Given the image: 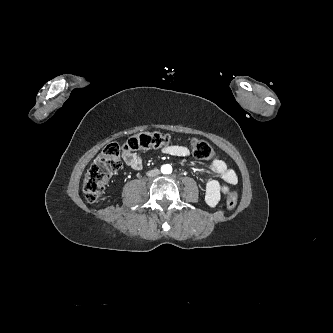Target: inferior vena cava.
I'll return each instance as SVG.
<instances>
[{
  "label": "inferior vena cava",
  "mask_w": 333,
  "mask_h": 333,
  "mask_svg": "<svg viewBox=\"0 0 333 333\" xmlns=\"http://www.w3.org/2000/svg\"><path fill=\"white\" fill-rule=\"evenodd\" d=\"M160 173L158 169H153L147 172V176L149 177H154L157 176Z\"/></svg>",
  "instance_id": "1"
}]
</instances>
